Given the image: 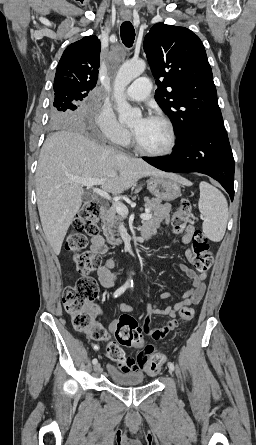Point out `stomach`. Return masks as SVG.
<instances>
[{
  "instance_id": "obj_1",
  "label": "stomach",
  "mask_w": 256,
  "mask_h": 445,
  "mask_svg": "<svg viewBox=\"0 0 256 445\" xmlns=\"http://www.w3.org/2000/svg\"><path fill=\"white\" fill-rule=\"evenodd\" d=\"M147 188L157 199L164 201H173L181 196L178 182L170 176L150 177Z\"/></svg>"
}]
</instances>
